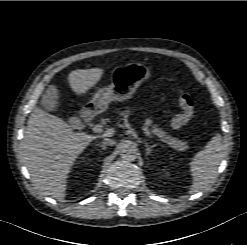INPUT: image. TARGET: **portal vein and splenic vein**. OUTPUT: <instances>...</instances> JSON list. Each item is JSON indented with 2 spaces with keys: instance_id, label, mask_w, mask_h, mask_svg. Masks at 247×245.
<instances>
[{
  "instance_id": "1",
  "label": "portal vein and splenic vein",
  "mask_w": 247,
  "mask_h": 245,
  "mask_svg": "<svg viewBox=\"0 0 247 245\" xmlns=\"http://www.w3.org/2000/svg\"><path fill=\"white\" fill-rule=\"evenodd\" d=\"M93 132L94 133H100L103 131V126L102 125H95L93 128H92ZM143 130L146 134V136L150 137V138H154V136L149 132V130L146 128V127H143Z\"/></svg>"
}]
</instances>
